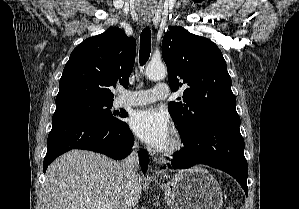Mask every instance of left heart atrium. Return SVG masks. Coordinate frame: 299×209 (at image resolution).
<instances>
[{"label":"left heart atrium","instance_id":"obj_1","mask_svg":"<svg viewBox=\"0 0 299 209\" xmlns=\"http://www.w3.org/2000/svg\"><path fill=\"white\" fill-rule=\"evenodd\" d=\"M130 126L146 144L160 149L170 138V123L167 114L157 108L135 111L130 118Z\"/></svg>","mask_w":299,"mask_h":209}]
</instances>
